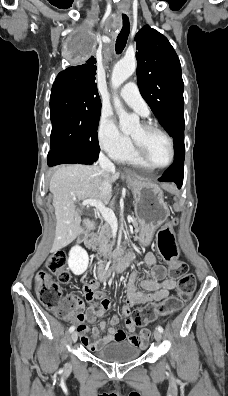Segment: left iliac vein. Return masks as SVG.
Instances as JSON below:
<instances>
[{"instance_id": "left-iliac-vein-1", "label": "left iliac vein", "mask_w": 228, "mask_h": 396, "mask_svg": "<svg viewBox=\"0 0 228 396\" xmlns=\"http://www.w3.org/2000/svg\"><path fill=\"white\" fill-rule=\"evenodd\" d=\"M154 338H155V340H156L157 342H161V340H162V335H161V333H160L158 330H155V331H154Z\"/></svg>"}]
</instances>
